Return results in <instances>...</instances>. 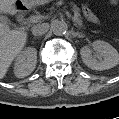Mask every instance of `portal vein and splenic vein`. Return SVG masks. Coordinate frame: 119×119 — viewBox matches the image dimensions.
Returning a JSON list of instances; mask_svg holds the SVG:
<instances>
[{"label":"portal vein and splenic vein","instance_id":"portal-vein-and-splenic-vein-1","mask_svg":"<svg viewBox=\"0 0 119 119\" xmlns=\"http://www.w3.org/2000/svg\"><path fill=\"white\" fill-rule=\"evenodd\" d=\"M64 11H66V10H64ZM41 18H42V16H40V15L32 16L30 18V22L35 23V22L39 21Z\"/></svg>","mask_w":119,"mask_h":119}]
</instances>
